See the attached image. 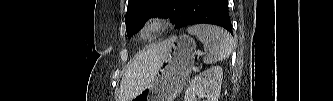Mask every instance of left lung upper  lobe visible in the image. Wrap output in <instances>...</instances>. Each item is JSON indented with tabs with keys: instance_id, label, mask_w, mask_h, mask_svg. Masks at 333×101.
<instances>
[{
	"instance_id": "obj_1",
	"label": "left lung upper lobe",
	"mask_w": 333,
	"mask_h": 101,
	"mask_svg": "<svg viewBox=\"0 0 333 101\" xmlns=\"http://www.w3.org/2000/svg\"><path fill=\"white\" fill-rule=\"evenodd\" d=\"M184 10L181 0H129L125 16L127 35L130 38L145 22L156 15H168L175 25L180 23Z\"/></svg>"
}]
</instances>
